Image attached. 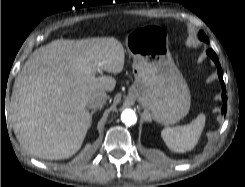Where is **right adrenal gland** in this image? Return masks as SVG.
I'll use <instances>...</instances> for the list:
<instances>
[{
  "instance_id": "obj_1",
  "label": "right adrenal gland",
  "mask_w": 245,
  "mask_h": 187,
  "mask_svg": "<svg viewBox=\"0 0 245 187\" xmlns=\"http://www.w3.org/2000/svg\"><path fill=\"white\" fill-rule=\"evenodd\" d=\"M96 112V109H93L92 111H91V114H90V116H91V123H92V116H93V114Z\"/></svg>"
}]
</instances>
